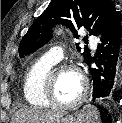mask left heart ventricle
I'll list each match as a JSON object with an SVG mask.
<instances>
[{
  "instance_id": "1",
  "label": "left heart ventricle",
  "mask_w": 122,
  "mask_h": 123,
  "mask_svg": "<svg viewBox=\"0 0 122 123\" xmlns=\"http://www.w3.org/2000/svg\"><path fill=\"white\" fill-rule=\"evenodd\" d=\"M82 88L80 74L72 69L58 73L55 82V96L58 100L68 102L78 96Z\"/></svg>"
}]
</instances>
